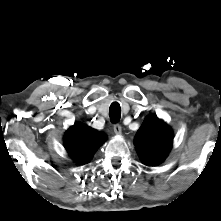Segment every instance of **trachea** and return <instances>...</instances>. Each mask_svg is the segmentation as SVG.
<instances>
[{
  "label": "trachea",
  "mask_w": 221,
  "mask_h": 221,
  "mask_svg": "<svg viewBox=\"0 0 221 221\" xmlns=\"http://www.w3.org/2000/svg\"><path fill=\"white\" fill-rule=\"evenodd\" d=\"M109 117L112 122H118L121 117V107L118 102H113L109 108Z\"/></svg>",
  "instance_id": "1"
}]
</instances>
